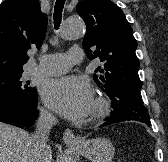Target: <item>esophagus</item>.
Returning a JSON list of instances; mask_svg holds the SVG:
<instances>
[{"mask_svg": "<svg viewBox=\"0 0 168 162\" xmlns=\"http://www.w3.org/2000/svg\"><path fill=\"white\" fill-rule=\"evenodd\" d=\"M63 141L68 145H77L81 143V139L76 137L72 130L66 129L63 133Z\"/></svg>", "mask_w": 168, "mask_h": 162, "instance_id": "esophagus-1", "label": "esophagus"}]
</instances>
